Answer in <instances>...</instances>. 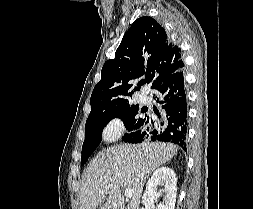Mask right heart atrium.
I'll list each match as a JSON object with an SVG mask.
<instances>
[{
  "label": "right heart atrium",
  "instance_id": "obj_1",
  "mask_svg": "<svg viewBox=\"0 0 253 209\" xmlns=\"http://www.w3.org/2000/svg\"><path fill=\"white\" fill-rule=\"evenodd\" d=\"M124 125L121 119L114 118L110 120L102 131V138L105 142L117 140L123 133Z\"/></svg>",
  "mask_w": 253,
  "mask_h": 209
}]
</instances>
